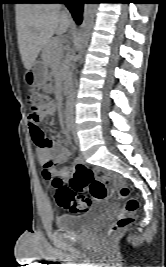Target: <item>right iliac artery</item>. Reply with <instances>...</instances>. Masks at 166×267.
I'll list each match as a JSON object with an SVG mask.
<instances>
[{"instance_id":"right-iliac-artery-1","label":"right iliac artery","mask_w":166,"mask_h":267,"mask_svg":"<svg viewBox=\"0 0 166 267\" xmlns=\"http://www.w3.org/2000/svg\"><path fill=\"white\" fill-rule=\"evenodd\" d=\"M67 130L70 132L72 129V116L70 114L65 115V120H64Z\"/></svg>"}]
</instances>
